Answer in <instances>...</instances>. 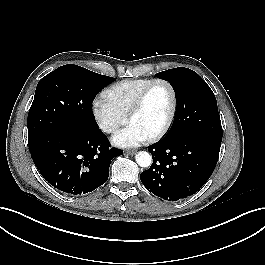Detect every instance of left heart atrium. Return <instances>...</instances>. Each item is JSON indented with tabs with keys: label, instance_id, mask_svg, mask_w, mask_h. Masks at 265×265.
<instances>
[{
	"label": "left heart atrium",
	"instance_id": "39dd6f15",
	"mask_svg": "<svg viewBox=\"0 0 265 265\" xmlns=\"http://www.w3.org/2000/svg\"><path fill=\"white\" fill-rule=\"evenodd\" d=\"M149 138L150 136L146 132L130 123L115 134L112 138V143L118 147L130 148L143 144L149 140Z\"/></svg>",
	"mask_w": 265,
	"mask_h": 265
}]
</instances>
